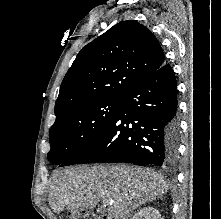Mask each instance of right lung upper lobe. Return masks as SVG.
I'll list each match as a JSON object with an SVG mask.
<instances>
[{
    "mask_svg": "<svg viewBox=\"0 0 221 219\" xmlns=\"http://www.w3.org/2000/svg\"><path fill=\"white\" fill-rule=\"evenodd\" d=\"M165 63L159 41L137 21H122L87 44L65 75L55 115L86 102L122 98Z\"/></svg>",
    "mask_w": 221,
    "mask_h": 219,
    "instance_id": "1",
    "label": "right lung upper lobe"
}]
</instances>
